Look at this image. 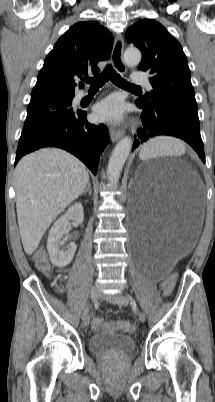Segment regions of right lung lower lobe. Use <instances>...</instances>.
Wrapping results in <instances>:
<instances>
[{
    "instance_id": "right-lung-lower-lobe-1",
    "label": "right lung lower lobe",
    "mask_w": 215,
    "mask_h": 402,
    "mask_svg": "<svg viewBox=\"0 0 215 402\" xmlns=\"http://www.w3.org/2000/svg\"><path fill=\"white\" fill-rule=\"evenodd\" d=\"M108 143L107 127L88 123L86 112L77 111L20 139L15 165L25 154L53 146L78 157L96 175L100 154Z\"/></svg>"
}]
</instances>
